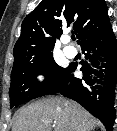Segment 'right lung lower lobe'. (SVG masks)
<instances>
[{"label": "right lung lower lobe", "instance_id": "right-lung-lower-lobe-1", "mask_svg": "<svg viewBox=\"0 0 117 131\" xmlns=\"http://www.w3.org/2000/svg\"><path fill=\"white\" fill-rule=\"evenodd\" d=\"M80 46L86 59L80 62L83 77H74L72 72L78 64L70 63L62 87L55 93L77 101L111 131L115 120L113 101L117 80V41L111 25Z\"/></svg>", "mask_w": 117, "mask_h": 131}]
</instances>
